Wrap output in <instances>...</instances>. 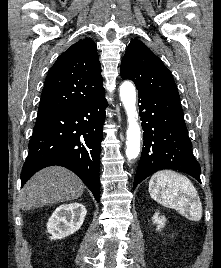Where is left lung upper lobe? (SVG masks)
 I'll return each instance as SVG.
<instances>
[{
  "label": "left lung upper lobe",
  "mask_w": 221,
  "mask_h": 268,
  "mask_svg": "<svg viewBox=\"0 0 221 268\" xmlns=\"http://www.w3.org/2000/svg\"><path fill=\"white\" fill-rule=\"evenodd\" d=\"M121 77L132 80L138 93L179 99L172 74L140 40L134 39L128 45L121 61Z\"/></svg>",
  "instance_id": "5c2ea615"
}]
</instances>
